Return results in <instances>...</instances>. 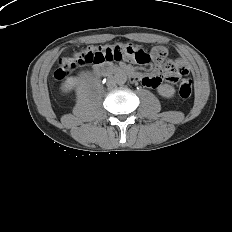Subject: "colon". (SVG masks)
Segmentation results:
<instances>
[{
	"label": "colon",
	"mask_w": 232,
	"mask_h": 232,
	"mask_svg": "<svg viewBox=\"0 0 232 232\" xmlns=\"http://www.w3.org/2000/svg\"><path fill=\"white\" fill-rule=\"evenodd\" d=\"M166 57L167 51L164 47H156L151 54L152 59L164 62L167 79L177 83L180 97L183 99L189 98L191 95V81L187 77V70L185 68H177L171 61H167ZM122 59L137 64H146L150 61V55L143 49H136L132 46L114 45L84 49L77 52L73 57L62 58L59 61L57 69L54 71V78L62 80L76 67Z\"/></svg>",
	"instance_id": "obj_1"
}]
</instances>
